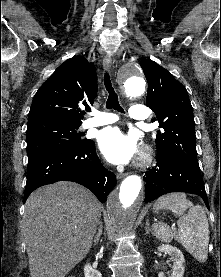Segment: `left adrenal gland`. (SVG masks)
<instances>
[{
  "label": "left adrenal gland",
  "mask_w": 221,
  "mask_h": 277,
  "mask_svg": "<svg viewBox=\"0 0 221 277\" xmlns=\"http://www.w3.org/2000/svg\"><path fill=\"white\" fill-rule=\"evenodd\" d=\"M145 232H146V234H149L150 232L152 233L149 220H146Z\"/></svg>",
  "instance_id": "a2214340"
}]
</instances>
